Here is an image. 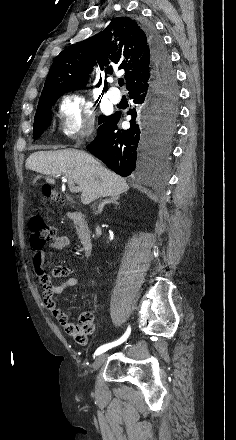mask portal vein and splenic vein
<instances>
[{"instance_id":"obj_1","label":"portal vein and splenic vein","mask_w":236,"mask_h":440,"mask_svg":"<svg viewBox=\"0 0 236 440\" xmlns=\"http://www.w3.org/2000/svg\"><path fill=\"white\" fill-rule=\"evenodd\" d=\"M68 181V185L71 191L73 192H79L81 191V189L79 187H75L74 182L70 179L64 178L63 182H67Z\"/></svg>"}]
</instances>
